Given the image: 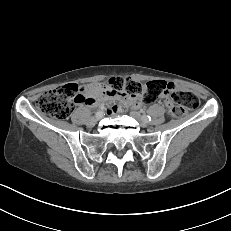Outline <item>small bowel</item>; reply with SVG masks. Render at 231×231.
<instances>
[{"label": "small bowel", "instance_id": "1", "mask_svg": "<svg viewBox=\"0 0 231 231\" xmlns=\"http://www.w3.org/2000/svg\"><path fill=\"white\" fill-rule=\"evenodd\" d=\"M83 100L79 101L80 104H85L90 107H98L103 103L118 100L125 106H132L136 109L142 107V100L139 96H127L110 90L103 83L86 84L80 87ZM119 110L116 105H110L108 111L114 113Z\"/></svg>", "mask_w": 231, "mask_h": 231}]
</instances>
